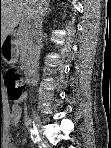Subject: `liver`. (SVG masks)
Here are the masks:
<instances>
[{
    "label": "liver",
    "mask_w": 111,
    "mask_h": 148,
    "mask_svg": "<svg viewBox=\"0 0 111 148\" xmlns=\"http://www.w3.org/2000/svg\"><path fill=\"white\" fill-rule=\"evenodd\" d=\"M42 0H1V41L19 24L21 20L32 19L36 7Z\"/></svg>",
    "instance_id": "6515ba94"
}]
</instances>
